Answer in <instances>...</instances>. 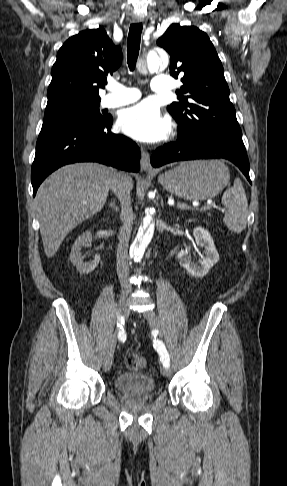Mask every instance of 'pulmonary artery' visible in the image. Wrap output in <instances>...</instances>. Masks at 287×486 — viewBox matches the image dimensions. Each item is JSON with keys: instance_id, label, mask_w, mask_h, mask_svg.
<instances>
[{"instance_id": "1", "label": "pulmonary artery", "mask_w": 287, "mask_h": 486, "mask_svg": "<svg viewBox=\"0 0 287 486\" xmlns=\"http://www.w3.org/2000/svg\"><path fill=\"white\" fill-rule=\"evenodd\" d=\"M151 88L157 93L169 92L172 86V80L167 75H158L153 78ZM110 93L102 98L104 107H119L137 101L141 94L135 88H129L122 84L113 83L108 86Z\"/></svg>"}]
</instances>
